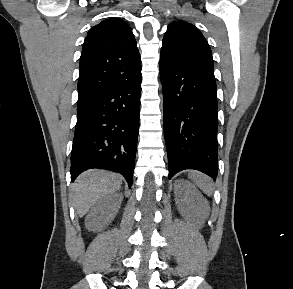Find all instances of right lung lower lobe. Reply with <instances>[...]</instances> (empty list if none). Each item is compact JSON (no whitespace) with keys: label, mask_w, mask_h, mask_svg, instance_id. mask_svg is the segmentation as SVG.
Instances as JSON below:
<instances>
[{"label":"right lung lower lobe","mask_w":293,"mask_h":289,"mask_svg":"<svg viewBox=\"0 0 293 289\" xmlns=\"http://www.w3.org/2000/svg\"><path fill=\"white\" fill-rule=\"evenodd\" d=\"M140 97L141 76L77 105L71 181L85 170L102 168L122 174L131 187Z\"/></svg>","instance_id":"right-lung-lower-lobe-1"}]
</instances>
